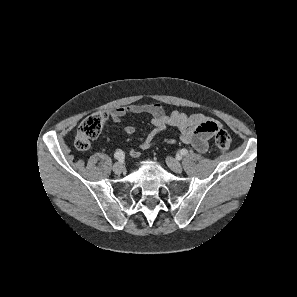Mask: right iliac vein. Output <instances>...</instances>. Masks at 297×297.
<instances>
[{"instance_id": "right-iliac-vein-1", "label": "right iliac vein", "mask_w": 297, "mask_h": 297, "mask_svg": "<svg viewBox=\"0 0 297 297\" xmlns=\"http://www.w3.org/2000/svg\"><path fill=\"white\" fill-rule=\"evenodd\" d=\"M112 169H113L114 173L120 174V173H122L124 167L121 162H117L113 165Z\"/></svg>"}]
</instances>
